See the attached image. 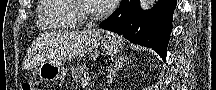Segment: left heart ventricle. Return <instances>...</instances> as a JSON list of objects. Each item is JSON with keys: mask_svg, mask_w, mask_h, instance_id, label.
<instances>
[{"mask_svg": "<svg viewBox=\"0 0 216 90\" xmlns=\"http://www.w3.org/2000/svg\"><path fill=\"white\" fill-rule=\"evenodd\" d=\"M99 2L98 1H80L79 7L84 12L94 15L96 14L97 9L99 8Z\"/></svg>", "mask_w": 216, "mask_h": 90, "instance_id": "1", "label": "left heart ventricle"}]
</instances>
